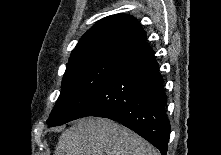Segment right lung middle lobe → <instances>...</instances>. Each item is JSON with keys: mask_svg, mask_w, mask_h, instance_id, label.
<instances>
[{"mask_svg": "<svg viewBox=\"0 0 221 155\" xmlns=\"http://www.w3.org/2000/svg\"><path fill=\"white\" fill-rule=\"evenodd\" d=\"M123 57L106 53L69 64L62 81V92L47 124L58 126L80 118L111 70Z\"/></svg>", "mask_w": 221, "mask_h": 155, "instance_id": "right-lung-middle-lobe-1", "label": "right lung middle lobe"}]
</instances>
